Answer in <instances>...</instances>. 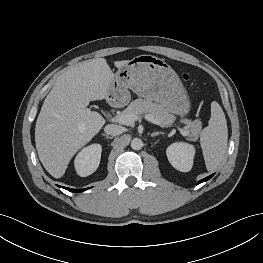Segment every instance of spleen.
<instances>
[{
	"label": "spleen",
	"instance_id": "obj_1",
	"mask_svg": "<svg viewBox=\"0 0 263 263\" xmlns=\"http://www.w3.org/2000/svg\"><path fill=\"white\" fill-rule=\"evenodd\" d=\"M227 142L228 129L225 114L221 106L213 101L208 126L203 129L200 135V145L208 171L215 170L222 162Z\"/></svg>",
	"mask_w": 263,
	"mask_h": 263
}]
</instances>
